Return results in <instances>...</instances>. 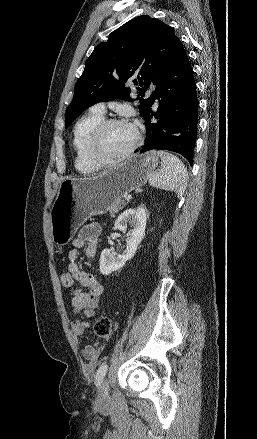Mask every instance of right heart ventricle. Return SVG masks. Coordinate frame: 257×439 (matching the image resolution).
Segmentation results:
<instances>
[{
    "label": "right heart ventricle",
    "mask_w": 257,
    "mask_h": 439,
    "mask_svg": "<svg viewBox=\"0 0 257 439\" xmlns=\"http://www.w3.org/2000/svg\"><path fill=\"white\" fill-rule=\"evenodd\" d=\"M102 120H104L103 114L92 110L81 117L74 127L72 145L75 152V167L83 174H91L97 169L87 154L86 145L90 133Z\"/></svg>",
    "instance_id": "right-heart-ventricle-1"
}]
</instances>
